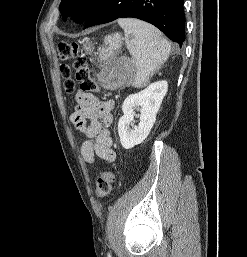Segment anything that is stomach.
Listing matches in <instances>:
<instances>
[{"instance_id":"0dacf381","label":"stomach","mask_w":247,"mask_h":257,"mask_svg":"<svg viewBox=\"0 0 247 257\" xmlns=\"http://www.w3.org/2000/svg\"><path fill=\"white\" fill-rule=\"evenodd\" d=\"M123 43V38L121 34L114 33L106 37L105 46L98 50V52H93V44L91 42L83 43V48L86 54L95 55L99 62H106L109 59L116 57L120 51V48ZM135 67L130 63H124L119 69L117 73V87L130 84L134 77Z\"/></svg>"}]
</instances>
